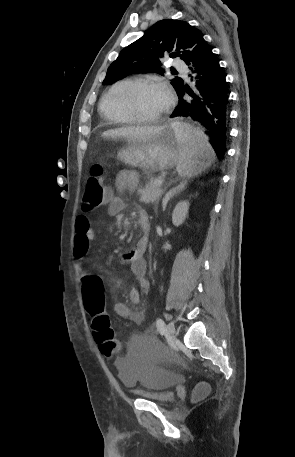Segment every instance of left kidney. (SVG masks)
I'll list each match as a JSON object with an SVG mask.
<instances>
[{"label": "left kidney", "instance_id": "left-kidney-1", "mask_svg": "<svg viewBox=\"0 0 295 457\" xmlns=\"http://www.w3.org/2000/svg\"><path fill=\"white\" fill-rule=\"evenodd\" d=\"M188 209H189L188 201H182L176 205V207L174 208L173 213H172V222L175 226L178 227L185 221V219L188 215Z\"/></svg>", "mask_w": 295, "mask_h": 457}]
</instances>
